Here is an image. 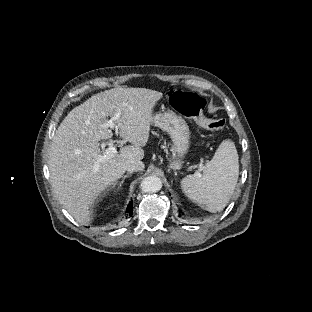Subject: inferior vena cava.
I'll list each match as a JSON object with an SVG mask.
<instances>
[{
    "mask_svg": "<svg viewBox=\"0 0 312 312\" xmlns=\"http://www.w3.org/2000/svg\"><path fill=\"white\" fill-rule=\"evenodd\" d=\"M144 169V164L140 160L132 161L127 164L126 171L129 173L140 172Z\"/></svg>",
    "mask_w": 312,
    "mask_h": 312,
    "instance_id": "1",
    "label": "inferior vena cava"
}]
</instances>
